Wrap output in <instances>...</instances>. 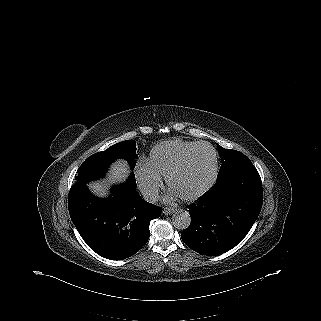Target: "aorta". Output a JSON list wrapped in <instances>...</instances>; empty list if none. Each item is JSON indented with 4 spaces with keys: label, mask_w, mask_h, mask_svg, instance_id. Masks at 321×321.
Segmentation results:
<instances>
[{
    "label": "aorta",
    "mask_w": 321,
    "mask_h": 321,
    "mask_svg": "<svg viewBox=\"0 0 321 321\" xmlns=\"http://www.w3.org/2000/svg\"><path fill=\"white\" fill-rule=\"evenodd\" d=\"M191 223L190 214L183 209L177 210L172 216V224L175 228L185 230Z\"/></svg>",
    "instance_id": "1"
}]
</instances>
